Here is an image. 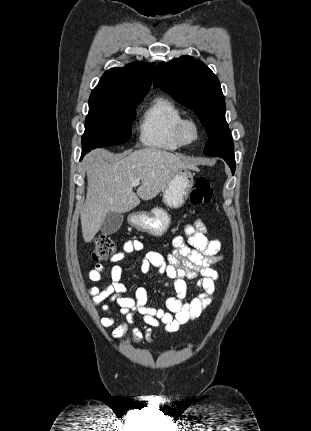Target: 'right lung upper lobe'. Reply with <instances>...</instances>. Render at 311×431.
Returning a JSON list of instances; mask_svg holds the SVG:
<instances>
[{
    "instance_id": "right-lung-upper-lobe-1",
    "label": "right lung upper lobe",
    "mask_w": 311,
    "mask_h": 431,
    "mask_svg": "<svg viewBox=\"0 0 311 431\" xmlns=\"http://www.w3.org/2000/svg\"><path fill=\"white\" fill-rule=\"evenodd\" d=\"M155 64L135 62L112 68L101 77L91 95L145 96L150 89Z\"/></svg>"
}]
</instances>
